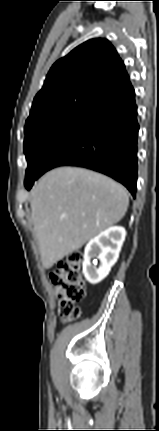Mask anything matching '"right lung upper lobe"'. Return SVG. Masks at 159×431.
I'll return each instance as SVG.
<instances>
[{"mask_svg": "<svg viewBox=\"0 0 159 431\" xmlns=\"http://www.w3.org/2000/svg\"><path fill=\"white\" fill-rule=\"evenodd\" d=\"M133 94L124 63L112 44L91 39L54 63L26 124L54 113L89 117Z\"/></svg>", "mask_w": 159, "mask_h": 431, "instance_id": "right-lung-upper-lobe-1", "label": "right lung upper lobe"}]
</instances>
